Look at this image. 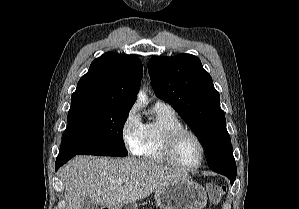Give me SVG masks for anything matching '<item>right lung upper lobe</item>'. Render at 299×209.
<instances>
[{"label":"right lung upper lobe","instance_id":"obj_1","mask_svg":"<svg viewBox=\"0 0 299 209\" xmlns=\"http://www.w3.org/2000/svg\"><path fill=\"white\" fill-rule=\"evenodd\" d=\"M143 74L136 55L107 52L95 59L80 78L71 97V107L99 106L130 110Z\"/></svg>","mask_w":299,"mask_h":209}]
</instances>
